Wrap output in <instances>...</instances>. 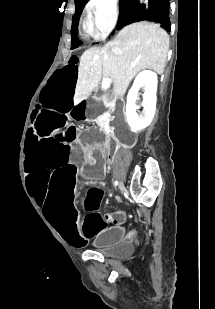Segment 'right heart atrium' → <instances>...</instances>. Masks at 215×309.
Wrapping results in <instances>:
<instances>
[{
    "label": "right heart atrium",
    "instance_id": "d8ad5b80",
    "mask_svg": "<svg viewBox=\"0 0 215 309\" xmlns=\"http://www.w3.org/2000/svg\"><path fill=\"white\" fill-rule=\"evenodd\" d=\"M113 4L114 0H91V7L96 8L88 13V21L95 37L103 38L114 29L117 11Z\"/></svg>",
    "mask_w": 215,
    "mask_h": 309
}]
</instances>
